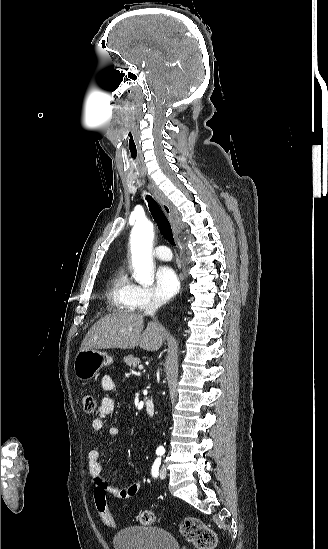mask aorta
Wrapping results in <instances>:
<instances>
[{
    "label": "aorta",
    "mask_w": 328,
    "mask_h": 549,
    "mask_svg": "<svg viewBox=\"0 0 328 549\" xmlns=\"http://www.w3.org/2000/svg\"><path fill=\"white\" fill-rule=\"evenodd\" d=\"M153 224L147 219L135 223L131 232V254L135 269L134 279L142 285L154 281L152 264ZM159 449H163L162 446Z\"/></svg>",
    "instance_id": "obj_1"
}]
</instances>
